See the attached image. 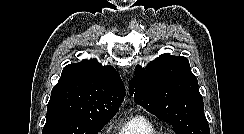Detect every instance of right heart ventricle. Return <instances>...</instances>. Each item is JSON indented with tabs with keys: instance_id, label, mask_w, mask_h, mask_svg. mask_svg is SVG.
<instances>
[{
	"instance_id": "1",
	"label": "right heart ventricle",
	"mask_w": 244,
	"mask_h": 134,
	"mask_svg": "<svg viewBox=\"0 0 244 134\" xmlns=\"http://www.w3.org/2000/svg\"><path fill=\"white\" fill-rule=\"evenodd\" d=\"M115 134H160V131L146 116L136 114L120 123Z\"/></svg>"
}]
</instances>
